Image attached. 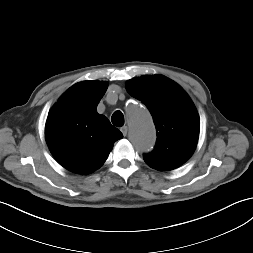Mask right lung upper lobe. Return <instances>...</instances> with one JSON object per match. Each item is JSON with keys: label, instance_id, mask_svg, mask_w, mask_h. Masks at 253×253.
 Segmentation results:
<instances>
[{"label": "right lung upper lobe", "instance_id": "right-lung-upper-lobe-1", "mask_svg": "<svg viewBox=\"0 0 253 253\" xmlns=\"http://www.w3.org/2000/svg\"><path fill=\"white\" fill-rule=\"evenodd\" d=\"M108 83L82 81L70 87L50 110L45 137L55 159L66 169L89 174L106 161L123 137L96 108Z\"/></svg>", "mask_w": 253, "mask_h": 253}]
</instances>
